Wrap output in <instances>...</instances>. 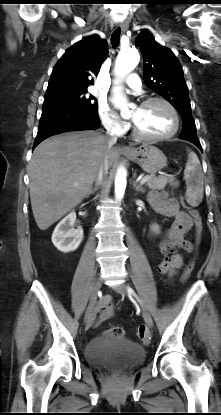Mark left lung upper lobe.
Returning a JSON list of instances; mask_svg holds the SVG:
<instances>
[{"instance_id":"5c2ea615","label":"left lung upper lobe","mask_w":221,"mask_h":415,"mask_svg":"<svg viewBox=\"0 0 221 415\" xmlns=\"http://www.w3.org/2000/svg\"><path fill=\"white\" fill-rule=\"evenodd\" d=\"M144 58V82L146 86L169 101L179 112L183 127L196 130L191 115L188 87L182 67L174 53L157 43L148 31H142L136 39Z\"/></svg>"}]
</instances>
